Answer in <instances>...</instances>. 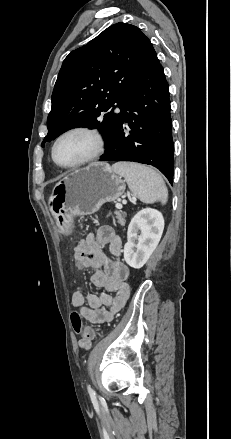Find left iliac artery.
<instances>
[{
  "label": "left iliac artery",
  "instance_id": "obj_1",
  "mask_svg": "<svg viewBox=\"0 0 231 439\" xmlns=\"http://www.w3.org/2000/svg\"><path fill=\"white\" fill-rule=\"evenodd\" d=\"M87 389H88V392H89L90 397H91L92 399L95 398L96 393H95V391L91 388L90 385L87 386Z\"/></svg>",
  "mask_w": 231,
  "mask_h": 439
}]
</instances>
